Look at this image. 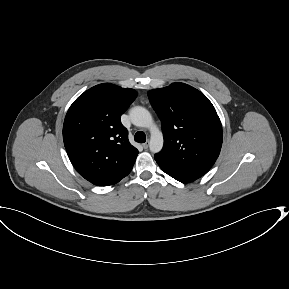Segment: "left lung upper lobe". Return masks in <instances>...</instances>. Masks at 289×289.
<instances>
[{
  "instance_id": "left-lung-upper-lobe-1",
  "label": "left lung upper lobe",
  "mask_w": 289,
  "mask_h": 289,
  "mask_svg": "<svg viewBox=\"0 0 289 289\" xmlns=\"http://www.w3.org/2000/svg\"><path fill=\"white\" fill-rule=\"evenodd\" d=\"M162 121L164 149L155 156L168 175L200 178L215 163L222 146V126L209 99L184 83L148 92Z\"/></svg>"
}]
</instances>
